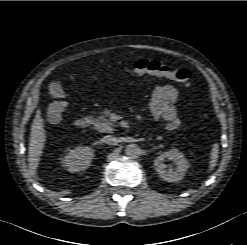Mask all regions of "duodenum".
<instances>
[{
	"instance_id": "410a0bca",
	"label": "duodenum",
	"mask_w": 247,
	"mask_h": 245,
	"mask_svg": "<svg viewBox=\"0 0 247 245\" xmlns=\"http://www.w3.org/2000/svg\"><path fill=\"white\" fill-rule=\"evenodd\" d=\"M91 124V120L88 117H80L76 120L75 125L80 129L87 128Z\"/></svg>"
}]
</instances>
